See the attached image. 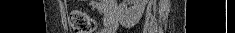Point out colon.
I'll return each instance as SVG.
<instances>
[{
  "mask_svg": "<svg viewBox=\"0 0 235 33\" xmlns=\"http://www.w3.org/2000/svg\"><path fill=\"white\" fill-rule=\"evenodd\" d=\"M70 25L74 33H93L96 29L95 19L88 13L80 10L70 14Z\"/></svg>",
  "mask_w": 235,
  "mask_h": 33,
  "instance_id": "obj_1",
  "label": "colon"
}]
</instances>
